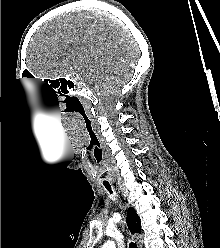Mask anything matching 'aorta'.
<instances>
[{"label":"aorta","mask_w":220,"mask_h":248,"mask_svg":"<svg viewBox=\"0 0 220 248\" xmlns=\"http://www.w3.org/2000/svg\"><path fill=\"white\" fill-rule=\"evenodd\" d=\"M102 248H115V243L113 241H107Z\"/></svg>","instance_id":"1"}]
</instances>
